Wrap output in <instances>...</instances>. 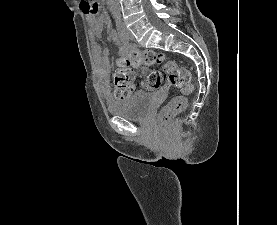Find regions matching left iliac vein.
Masks as SVG:
<instances>
[{
  "label": "left iliac vein",
  "mask_w": 277,
  "mask_h": 225,
  "mask_svg": "<svg viewBox=\"0 0 277 225\" xmlns=\"http://www.w3.org/2000/svg\"><path fill=\"white\" fill-rule=\"evenodd\" d=\"M123 31L125 33V35L129 38V39H133L134 36L133 34L123 25Z\"/></svg>",
  "instance_id": "1"
}]
</instances>
